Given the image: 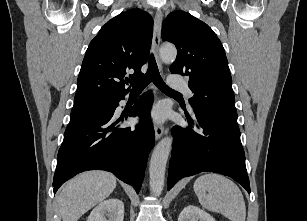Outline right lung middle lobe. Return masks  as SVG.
<instances>
[{
	"label": "right lung middle lobe",
	"mask_w": 307,
	"mask_h": 221,
	"mask_svg": "<svg viewBox=\"0 0 307 221\" xmlns=\"http://www.w3.org/2000/svg\"><path fill=\"white\" fill-rule=\"evenodd\" d=\"M114 103L113 101H103L74 105L67 128L107 115L111 111Z\"/></svg>",
	"instance_id": "dd1d6c3e"
}]
</instances>
